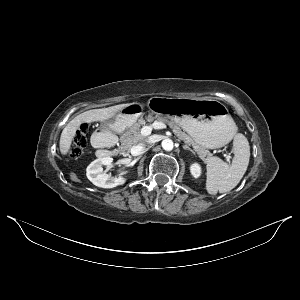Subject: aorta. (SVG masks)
<instances>
[{
	"label": "aorta",
	"instance_id": "762f6f07",
	"mask_svg": "<svg viewBox=\"0 0 300 300\" xmlns=\"http://www.w3.org/2000/svg\"><path fill=\"white\" fill-rule=\"evenodd\" d=\"M161 145L165 151H171L174 148V143L171 139H164Z\"/></svg>",
	"mask_w": 300,
	"mask_h": 300
}]
</instances>
